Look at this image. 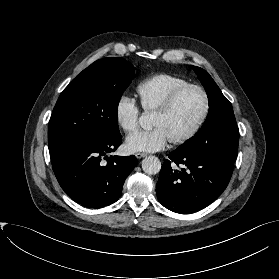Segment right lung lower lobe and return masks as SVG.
<instances>
[{
    "label": "right lung lower lobe",
    "instance_id": "1",
    "mask_svg": "<svg viewBox=\"0 0 279 279\" xmlns=\"http://www.w3.org/2000/svg\"><path fill=\"white\" fill-rule=\"evenodd\" d=\"M121 142V135L116 134L50 153L53 171L64 192L89 208H101L117 201L125 179L137 164L133 155L108 158L107 154L115 151Z\"/></svg>",
    "mask_w": 279,
    "mask_h": 279
}]
</instances>
